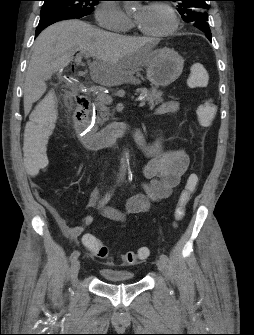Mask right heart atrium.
I'll list each match as a JSON object with an SVG mask.
<instances>
[{
	"instance_id": "1",
	"label": "right heart atrium",
	"mask_w": 254,
	"mask_h": 335,
	"mask_svg": "<svg viewBox=\"0 0 254 335\" xmlns=\"http://www.w3.org/2000/svg\"><path fill=\"white\" fill-rule=\"evenodd\" d=\"M95 18L99 26L109 30L127 32L132 28L131 19L117 3L112 1L99 5L95 12Z\"/></svg>"
}]
</instances>
